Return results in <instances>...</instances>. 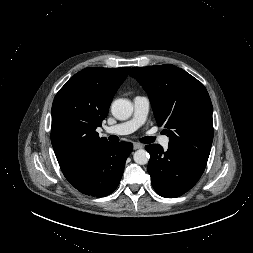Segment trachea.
I'll use <instances>...</instances> for the list:
<instances>
[{
  "label": "trachea",
  "instance_id": "obj_1",
  "mask_svg": "<svg viewBox=\"0 0 253 253\" xmlns=\"http://www.w3.org/2000/svg\"><path fill=\"white\" fill-rule=\"evenodd\" d=\"M155 140L154 137L147 136L140 139V142L142 143H152Z\"/></svg>",
  "mask_w": 253,
  "mask_h": 253
}]
</instances>
